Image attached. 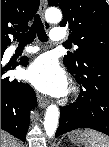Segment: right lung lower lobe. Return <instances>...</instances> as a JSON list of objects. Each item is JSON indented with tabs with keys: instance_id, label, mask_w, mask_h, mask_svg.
<instances>
[{
	"instance_id": "right-lung-lower-lobe-1",
	"label": "right lung lower lobe",
	"mask_w": 109,
	"mask_h": 147,
	"mask_svg": "<svg viewBox=\"0 0 109 147\" xmlns=\"http://www.w3.org/2000/svg\"><path fill=\"white\" fill-rule=\"evenodd\" d=\"M5 49H1V60ZM19 64L26 66L28 58L22 57ZM9 69L10 66H1V129L25 141L30 110L37 105V99L34 90L28 84L16 79L11 81L9 77L4 76Z\"/></svg>"
}]
</instances>
